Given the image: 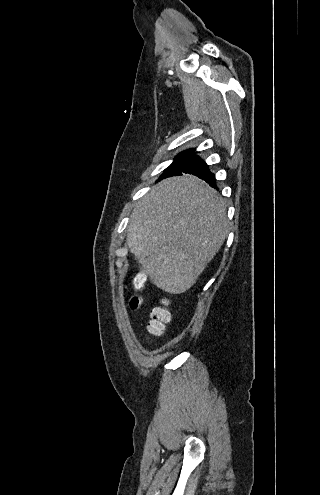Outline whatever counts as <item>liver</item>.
Here are the masks:
<instances>
[{
    "label": "liver",
    "instance_id": "liver-1",
    "mask_svg": "<svg viewBox=\"0 0 320 495\" xmlns=\"http://www.w3.org/2000/svg\"><path fill=\"white\" fill-rule=\"evenodd\" d=\"M228 219L223 198L194 175L158 183L130 216L127 243L152 284L181 294L223 245Z\"/></svg>",
    "mask_w": 320,
    "mask_h": 495
}]
</instances>
